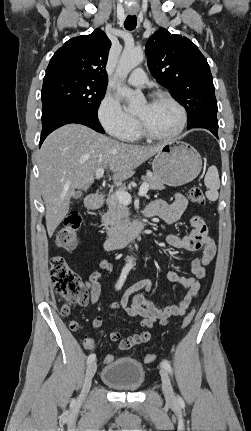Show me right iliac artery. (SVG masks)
I'll return each mask as SVG.
<instances>
[{
  "mask_svg": "<svg viewBox=\"0 0 251 431\" xmlns=\"http://www.w3.org/2000/svg\"><path fill=\"white\" fill-rule=\"evenodd\" d=\"M128 272H129V268L128 267L123 268V270L121 272V275H120V278L117 281L116 286H115L116 290L121 289V287L123 286V284L125 282V279L127 277ZM95 358H96L95 354H90L88 356V358H87V364L92 363L95 360Z\"/></svg>",
  "mask_w": 251,
  "mask_h": 431,
  "instance_id": "1",
  "label": "right iliac artery"
}]
</instances>
